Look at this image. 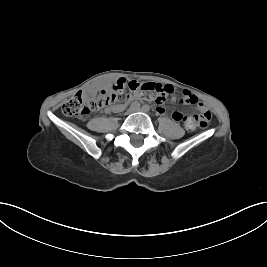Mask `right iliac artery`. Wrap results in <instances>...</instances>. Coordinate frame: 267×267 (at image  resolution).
<instances>
[{"instance_id":"obj_1","label":"right iliac artery","mask_w":267,"mask_h":267,"mask_svg":"<svg viewBox=\"0 0 267 267\" xmlns=\"http://www.w3.org/2000/svg\"><path fill=\"white\" fill-rule=\"evenodd\" d=\"M139 107H140V103L137 102V101H135V102H133V103L131 104V108H132V109H138Z\"/></svg>"}]
</instances>
